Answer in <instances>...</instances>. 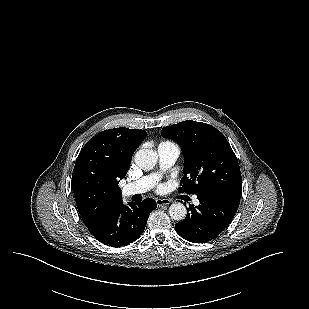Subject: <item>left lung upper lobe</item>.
Segmentation results:
<instances>
[{"mask_svg":"<svg viewBox=\"0 0 309 309\" xmlns=\"http://www.w3.org/2000/svg\"><path fill=\"white\" fill-rule=\"evenodd\" d=\"M161 135L178 142L184 155L183 190L190 194L241 196L238 160L225 136L209 124L187 120L164 127Z\"/></svg>","mask_w":309,"mask_h":309,"instance_id":"5c2ea615","label":"left lung upper lobe"}]
</instances>
